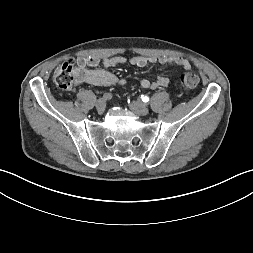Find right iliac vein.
<instances>
[{"label": "right iliac vein", "instance_id": "obj_1", "mask_svg": "<svg viewBox=\"0 0 253 253\" xmlns=\"http://www.w3.org/2000/svg\"><path fill=\"white\" fill-rule=\"evenodd\" d=\"M96 109L99 113L104 112L105 108H106V101L104 99H99L96 102Z\"/></svg>", "mask_w": 253, "mask_h": 253}]
</instances>
